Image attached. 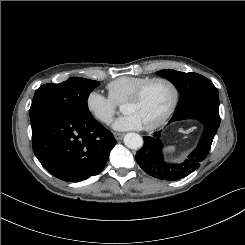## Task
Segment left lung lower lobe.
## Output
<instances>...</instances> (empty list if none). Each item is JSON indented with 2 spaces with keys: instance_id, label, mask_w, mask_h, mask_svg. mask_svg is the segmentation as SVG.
Masks as SVG:
<instances>
[{
  "instance_id": "0a47b994",
  "label": "left lung lower lobe",
  "mask_w": 245,
  "mask_h": 245,
  "mask_svg": "<svg viewBox=\"0 0 245 245\" xmlns=\"http://www.w3.org/2000/svg\"><path fill=\"white\" fill-rule=\"evenodd\" d=\"M184 119H197L204 125L198 146L184 162L168 163L164 159L159 140L161 131L156 132L152 137H144V145L137 152L135 159L146 173L158 179L176 181L195 171L206 158L220 125L219 105H194L172 116L170 121Z\"/></svg>"
}]
</instances>
